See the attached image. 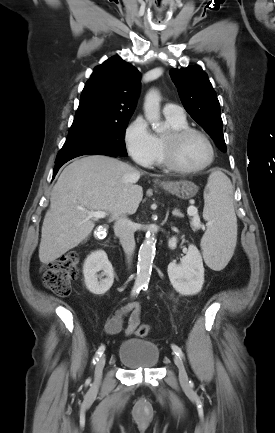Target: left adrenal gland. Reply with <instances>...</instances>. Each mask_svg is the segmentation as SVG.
Instances as JSON below:
<instances>
[{
    "mask_svg": "<svg viewBox=\"0 0 275 433\" xmlns=\"http://www.w3.org/2000/svg\"><path fill=\"white\" fill-rule=\"evenodd\" d=\"M172 214H173V216H176V217H182L181 212H180L179 210H177V209H175V210L172 212Z\"/></svg>",
    "mask_w": 275,
    "mask_h": 433,
    "instance_id": "obj_1",
    "label": "left adrenal gland"
}]
</instances>
